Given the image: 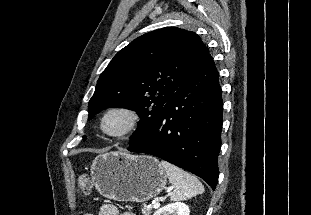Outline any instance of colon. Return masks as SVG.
<instances>
[{
	"label": "colon",
	"instance_id": "1",
	"mask_svg": "<svg viewBox=\"0 0 311 215\" xmlns=\"http://www.w3.org/2000/svg\"><path fill=\"white\" fill-rule=\"evenodd\" d=\"M77 188H78V192L81 195L86 196V195H88L90 193L91 181H90L89 177L86 174H81L78 177Z\"/></svg>",
	"mask_w": 311,
	"mask_h": 215
}]
</instances>
